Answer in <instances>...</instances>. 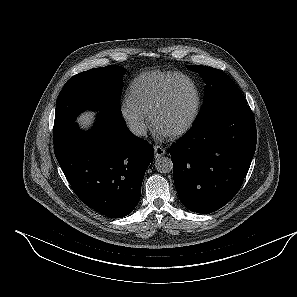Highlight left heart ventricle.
<instances>
[{"instance_id":"obj_1","label":"left heart ventricle","mask_w":297,"mask_h":297,"mask_svg":"<svg viewBox=\"0 0 297 297\" xmlns=\"http://www.w3.org/2000/svg\"><path fill=\"white\" fill-rule=\"evenodd\" d=\"M195 95L187 81H179L171 91L164 107L156 114L154 126L163 134H169L183 125L189 118Z\"/></svg>"}]
</instances>
